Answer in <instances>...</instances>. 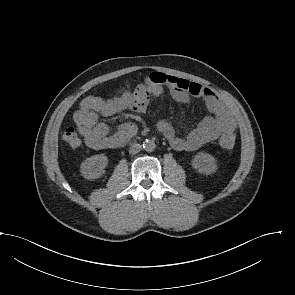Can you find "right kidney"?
Instances as JSON below:
<instances>
[{"instance_id":"ca27d5eb","label":"right kidney","mask_w":295,"mask_h":295,"mask_svg":"<svg viewBox=\"0 0 295 295\" xmlns=\"http://www.w3.org/2000/svg\"><path fill=\"white\" fill-rule=\"evenodd\" d=\"M108 158L104 154H98L87 158L80 166V172L86 179H96L105 173Z\"/></svg>"}]
</instances>
